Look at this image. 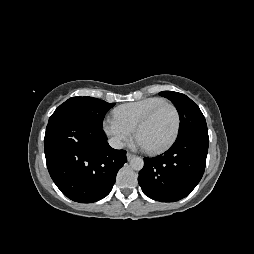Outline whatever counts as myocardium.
Masks as SVG:
<instances>
[{"instance_id": "f54148a6", "label": "myocardium", "mask_w": 254, "mask_h": 254, "mask_svg": "<svg viewBox=\"0 0 254 254\" xmlns=\"http://www.w3.org/2000/svg\"><path fill=\"white\" fill-rule=\"evenodd\" d=\"M169 106L171 107L174 112H175V116H176V124H175V128L173 131L172 136L161 146L156 147V148H146V150L151 153V154H158L161 153L163 151H165L166 149H168L177 139L178 134H179V130H180V125H181V117H180V112L177 108V106L171 102H163L161 104H159L158 106H156L155 108H153L149 113H147L136 125L135 127V135L138 137V133L139 131L145 126L147 125L152 119L153 117L163 108Z\"/></svg>"}]
</instances>
